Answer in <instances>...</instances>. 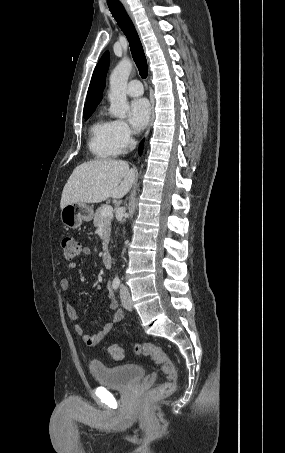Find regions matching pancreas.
Wrapping results in <instances>:
<instances>
[{
    "mask_svg": "<svg viewBox=\"0 0 285 453\" xmlns=\"http://www.w3.org/2000/svg\"><path fill=\"white\" fill-rule=\"evenodd\" d=\"M107 205H102L97 208L96 213L94 214L93 218V223L95 227L100 226L101 224L104 227V236H103V251H107L108 249V241L110 237V227H111V221L113 219V215L110 214L108 216H103L102 215V210L104 207Z\"/></svg>",
    "mask_w": 285,
    "mask_h": 453,
    "instance_id": "obj_1",
    "label": "pancreas"
}]
</instances>
